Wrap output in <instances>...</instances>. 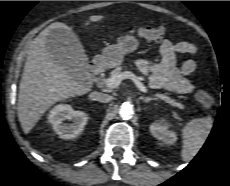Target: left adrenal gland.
I'll use <instances>...</instances> for the list:
<instances>
[{
  "label": "left adrenal gland",
  "instance_id": "obj_1",
  "mask_svg": "<svg viewBox=\"0 0 230 186\" xmlns=\"http://www.w3.org/2000/svg\"><path fill=\"white\" fill-rule=\"evenodd\" d=\"M140 99H141L144 103H149L150 101L156 100V98H150V97H140Z\"/></svg>",
  "mask_w": 230,
  "mask_h": 186
}]
</instances>
